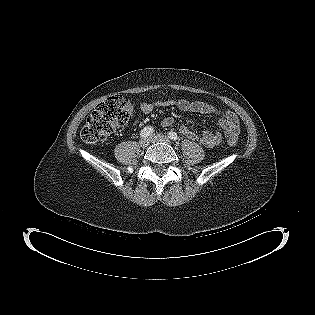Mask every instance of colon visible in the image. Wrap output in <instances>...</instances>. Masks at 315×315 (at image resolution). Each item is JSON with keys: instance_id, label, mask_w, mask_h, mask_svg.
<instances>
[{"instance_id": "1", "label": "colon", "mask_w": 315, "mask_h": 315, "mask_svg": "<svg viewBox=\"0 0 315 315\" xmlns=\"http://www.w3.org/2000/svg\"><path fill=\"white\" fill-rule=\"evenodd\" d=\"M129 116L124 98L119 95L110 96L89 115L81 130V139L88 144L102 142L118 127L125 125ZM228 142L230 145L236 143L234 139H229Z\"/></svg>"}]
</instances>
